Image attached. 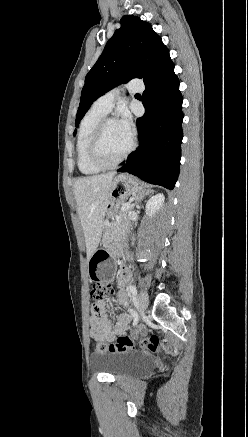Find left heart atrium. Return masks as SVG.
Wrapping results in <instances>:
<instances>
[{
	"instance_id": "obj_1",
	"label": "left heart atrium",
	"mask_w": 248,
	"mask_h": 437,
	"mask_svg": "<svg viewBox=\"0 0 248 437\" xmlns=\"http://www.w3.org/2000/svg\"><path fill=\"white\" fill-rule=\"evenodd\" d=\"M122 132L130 139H132L134 134V128L132 124V120L128 112L124 111L121 115V118L117 121Z\"/></svg>"
}]
</instances>
